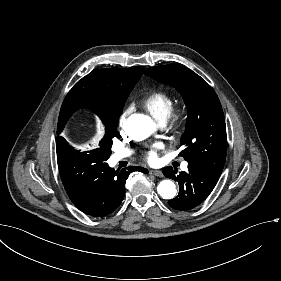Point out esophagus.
I'll list each match as a JSON object with an SVG mask.
<instances>
[{
  "label": "esophagus",
  "instance_id": "esophagus-1",
  "mask_svg": "<svg viewBox=\"0 0 281 281\" xmlns=\"http://www.w3.org/2000/svg\"><path fill=\"white\" fill-rule=\"evenodd\" d=\"M149 173L158 177L164 176L161 170H150Z\"/></svg>",
  "mask_w": 281,
  "mask_h": 281
}]
</instances>
